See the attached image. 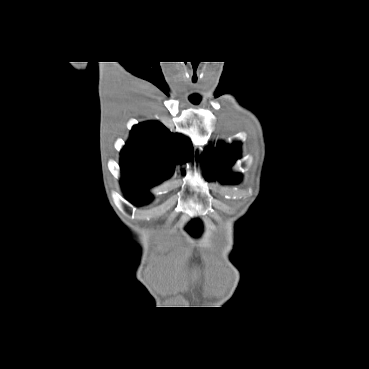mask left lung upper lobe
Wrapping results in <instances>:
<instances>
[{"instance_id": "left-lung-upper-lobe-1", "label": "left lung upper lobe", "mask_w": 369, "mask_h": 369, "mask_svg": "<svg viewBox=\"0 0 369 369\" xmlns=\"http://www.w3.org/2000/svg\"><path fill=\"white\" fill-rule=\"evenodd\" d=\"M240 157V143L231 145L218 144L214 149L208 147L202 155V163L208 169L204 173L207 181L218 179L223 183L234 184L240 180V175L230 173L229 168ZM216 168V174L212 171Z\"/></svg>"}]
</instances>
